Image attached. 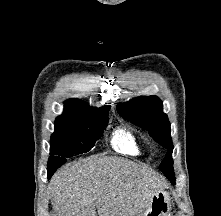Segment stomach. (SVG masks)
<instances>
[{
	"label": "stomach",
	"instance_id": "obj_1",
	"mask_svg": "<svg viewBox=\"0 0 221 216\" xmlns=\"http://www.w3.org/2000/svg\"><path fill=\"white\" fill-rule=\"evenodd\" d=\"M171 198L166 191H158L153 194L149 206L143 216H168Z\"/></svg>",
	"mask_w": 221,
	"mask_h": 216
}]
</instances>
